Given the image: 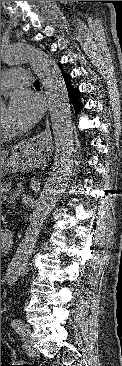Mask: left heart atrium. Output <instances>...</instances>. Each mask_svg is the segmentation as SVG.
Masks as SVG:
<instances>
[{
	"mask_svg": "<svg viewBox=\"0 0 122 366\" xmlns=\"http://www.w3.org/2000/svg\"><path fill=\"white\" fill-rule=\"evenodd\" d=\"M42 107L39 100L26 91L14 92L8 107L5 118L8 126L13 131H26L39 120Z\"/></svg>",
	"mask_w": 122,
	"mask_h": 366,
	"instance_id": "1",
	"label": "left heart atrium"
}]
</instances>
